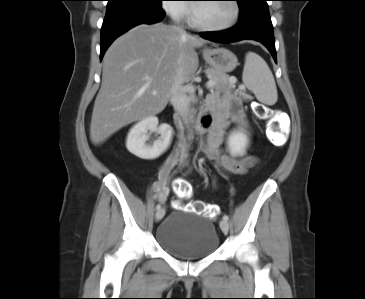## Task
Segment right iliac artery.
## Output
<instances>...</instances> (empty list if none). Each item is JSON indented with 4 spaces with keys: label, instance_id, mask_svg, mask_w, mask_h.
I'll return each instance as SVG.
<instances>
[{
    "label": "right iliac artery",
    "instance_id": "right-iliac-artery-1",
    "mask_svg": "<svg viewBox=\"0 0 365 299\" xmlns=\"http://www.w3.org/2000/svg\"><path fill=\"white\" fill-rule=\"evenodd\" d=\"M161 208V204H157L156 209L159 210Z\"/></svg>",
    "mask_w": 365,
    "mask_h": 299
}]
</instances>
